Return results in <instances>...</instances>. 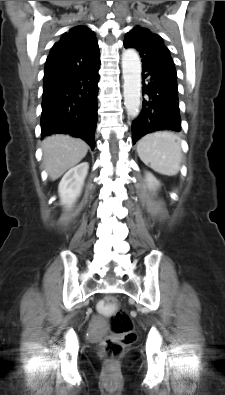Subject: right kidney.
<instances>
[{"label":"right kidney","mask_w":225,"mask_h":395,"mask_svg":"<svg viewBox=\"0 0 225 395\" xmlns=\"http://www.w3.org/2000/svg\"><path fill=\"white\" fill-rule=\"evenodd\" d=\"M89 165L83 162L71 168L59 183L58 192L61 204L70 207L79 197L84 180L88 172Z\"/></svg>","instance_id":"obj_1"}]
</instances>
